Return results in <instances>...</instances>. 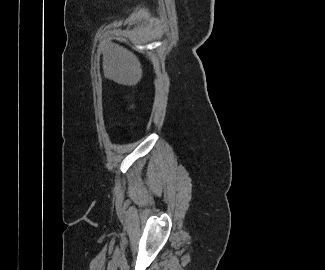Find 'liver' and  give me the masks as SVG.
<instances>
[{"mask_svg":"<svg viewBox=\"0 0 325 270\" xmlns=\"http://www.w3.org/2000/svg\"><path fill=\"white\" fill-rule=\"evenodd\" d=\"M104 77L114 82L134 86L142 79V67L138 57L119 46L110 43L102 50Z\"/></svg>","mask_w":325,"mask_h":270,"instance_id":"obj_1","label":"liver"}]
</instances>
